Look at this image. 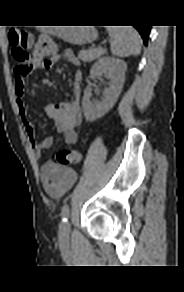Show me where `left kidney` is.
Returning a JSON list of instances; mask_svg holds the SVG:
<instances>
[{"label":"left kidney","instance_id":"left-kidney-1","mask_svg":"<svg viewBox=\"0 0 184 292\" xmlns=\"http://www.w3.org/2000/svg\"><path fill=\"white\" fill-rule=\"evenodd\" d=\"M127 64L113 57H102L98 59L90 70L91 79H96L105 75L110 80V85L103 92L101 101L92 103L91 85H88L84 91L82 107L87 121L93 122L104 116L116 103L124 81Z\"/></svg>","mask_w":184,"mask_h":292}]
</instances>
